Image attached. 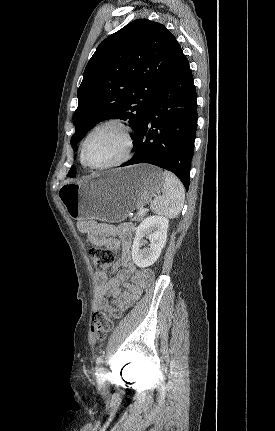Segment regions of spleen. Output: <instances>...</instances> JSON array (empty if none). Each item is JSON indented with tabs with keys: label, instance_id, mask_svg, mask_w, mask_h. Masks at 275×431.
<instances>
[{
	"label": "spleen",
	"instance_id": "spleen-1",
	"mask_svg": "<svg viewBox=\"0 0 275 431\" xmlns=\"http://www.w3.org/2000/svg\"><path fill=\"white\" fill-rule=\"evenodd\" d=\"M162 176L164 180L162 195L152 201L151 210L159 215L176 218L181 213L184 204V187L173 173L164 171Z\"/></svg>",
	"mask_w": 275,
	"mask_h": 431
}]
</instances>
